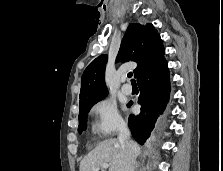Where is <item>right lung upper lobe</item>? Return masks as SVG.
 <instances>
[{"label":"right lung upper lobe","mask_w":223,"mask_h":171,"mask_svg":"<svg viewBox=\"0 0 223 171\" xmlns=\"http://www.w3.org/2000/svg\"><path fill=\"white\" fill-rule=\"evenodd\" d=\"M164 47L160 35L151 23L129 24L122 39L117 61H134L137 68L134 70L138 80L146 72L153 69L165 58ZM107 56L95 58L85 69L81 78L80 108L106 97L105 67Z\"/></svg>","instance_id":"right-lung-upper-lobe-1"}]
</instances>
